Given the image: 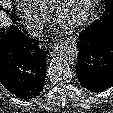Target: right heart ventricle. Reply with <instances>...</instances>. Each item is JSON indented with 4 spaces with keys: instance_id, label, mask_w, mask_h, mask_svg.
Listing matches in <instances>:
<instances>
[{
    "instance_id": "1",
    "label": "right heart ventricle",
    "mask_w": 113,
    "mask_h": 113,
    "mask_svg": "<svg viewBox=\"0 0 113 113\" xmlns=\"http://www.w3.org/2000/svg\"><path fill=\"white\" fill-rule=\"evenodd\" d=\"M30 8L48 15L52 11V6L55 0H24Z\"/></svg>"
}]
</instances>
